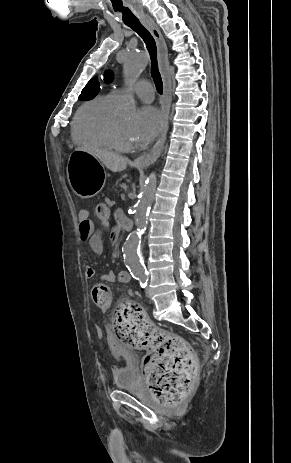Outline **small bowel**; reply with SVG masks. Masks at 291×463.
<instances>
[{
	"label": "small bowel",
	"mask_w": 291,
	"mask_h": 463,
	"mask_svg": "<svg viewBox=\"0 0 291 463\" xmlns=\"http://www.w3.org/2000/svg\"><path fill=\"white\" fill-rule=\"evenodd\" d=\"M103 204V203H101ZM121 216H116L119 220ZM79 218V238L82 241H88L90 249L97 255L103 253L104 245L103 239L100 234L95 229L93 221L90 219L89 210L86 208L80 209L78 213ZM110 216H107V224L109 222ZM122 233V228L120 226H113L110 231L111 244L113 246H118L120 244V234ZM85 277L87 279H93L96 275L95 270L91 267H86L84 271ZM101 280L107 283H114L116 281L121 283H128L130 281V274L126 270H122L116 275L113 271H107L101 275Z\"/></svg>",
	"instance_id": "obj_1"
}]
</instances>
